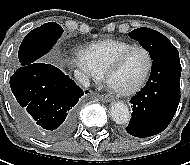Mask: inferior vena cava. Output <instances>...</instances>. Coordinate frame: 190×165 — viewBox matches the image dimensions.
I'll list each match as a JSON object with an SVG mask.
<instances>
[{"label":"inferior vena cava","instance_id":"inferior-vena-cava-1","mask_svg":"<svg viewBox=\"0 0 190 165\" xmlns=\"http://www.w3.org/2000/svg\"><path fill=\"white\" fill-rule=\"evenodd\" d=\"M75 78L84 86V87H89L90 81L89 78L80 72L79 70H75L74 72Z\"/></svg>","mask_w":190,"mask_h":165}]
</instances>
